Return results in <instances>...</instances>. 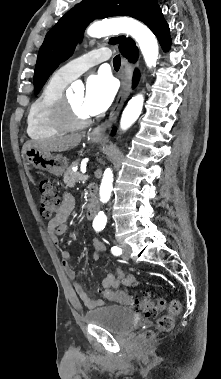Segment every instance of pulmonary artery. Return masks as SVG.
<instances>
[{
	"label": "pulmonary artery",
	"mask_w": 221,
	"mask_h": 379,
	"mask_svg": "<svg viewBox=\"0 0 221 379\" xmlns=\"http://www.w3.org/2000/svg\"><path fill=\"white\" fill-rule=\"evenodd\" d=\"M110 54V50L107 48L94 49L61 66L55 74L70 82L90 67L107 60Z\"/></svg>",
	"instance_id": "e3ab8cb5"
}]
</instances>
